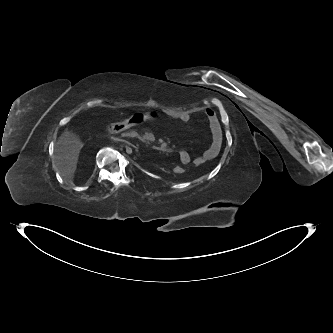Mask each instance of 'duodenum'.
<instances>
[{"label": "duodenum", "mask_w": 333, "mask_h": 333, "mask_svg": "<svg viewBox=\"0 0 333 333\" xmlns=\"http://www.w3.org/2000/svg\"><path fill=\"white\" fill-rule=\"evenodd\" d=\"M127 136L136 137L137 136V132L136 131H127V132H122L120 134L121 138H124V137H127ZM153 149L156 150V151H160V152L167 150L166 148H164L162 146H158V145L154 146Z\"/></svg>", "instance_id": "1"}]
</instances>
